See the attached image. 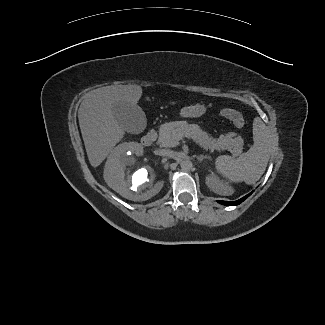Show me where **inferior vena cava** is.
<instances>
[{"label": "inferior vena cava", "instance_id": "1", "mask_svg": "<svg viewBox=\"0 0 325 325\" xmlns=\"http://www.w3.org/2000/svg\"><path fill=\"white\" fill-rule=\"evenodd\" d=\"M158 154L160 156H173L174 152L172 150H169V149H160L158 151Z\"/></svg>", "mask_w": 325, "mask_h": 325}]
</instances>
